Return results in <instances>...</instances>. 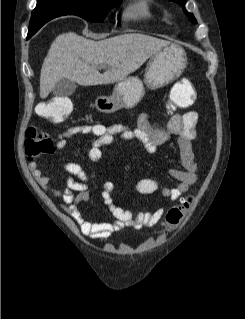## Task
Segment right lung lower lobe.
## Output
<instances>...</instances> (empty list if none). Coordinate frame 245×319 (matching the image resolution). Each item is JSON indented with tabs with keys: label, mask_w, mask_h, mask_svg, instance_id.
I'll return each instance as SVG.
<instances>
[{
	"label": "right lung lower lobe",
	"mask_w": 245,
	"mask_h": 319,
	"mask_svg": "<svg viewBox=\"0 0 245 319\" xmlns=\"http://www.w3.org/2000/svg\"><path fill=\"white\" fill-rule=\"evenodd\" d=\"M32 35L31 34H28V37L27 38H29V37H31Z\"/></svg>",
	"instance_id": "98d812e1"
}]
</instances>
